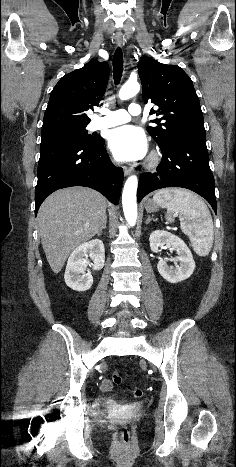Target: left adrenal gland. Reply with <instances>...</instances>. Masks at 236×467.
I'll return each mask as SVG.
<instances>
[{"instance_id": "left-adrenal-gland-1", "label": "left adrenal gland", "mask_w": 236, "mask_h": 467, "mask_svg": "<svg viewBox=\"0 0 236 467\" xmlns=\"http://www.w3.org/2000/svg\"><path fill=\"white\" fill-rule=\"evenodd\" d=\"M150 221H154V222H155L156 219H153V218H151L150 215H148V216H147V220H146V225H148V224L150 223Z\"/></svg>"}]
</instances>
